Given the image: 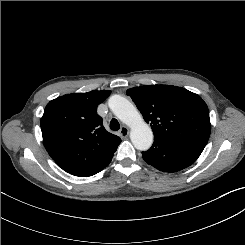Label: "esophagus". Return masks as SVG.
<instances>
[{
    "instance_id": "esophagus-1",
    "label": "esophagus",
    "mask_w": 245,
    "mask_h": 245,
    "mask_svg": "<svg viewBox=\"0 0 245 245\" xmlns=\"http://www.w3.org/2000/svg\"><path fill=\"white\" fill-rule=\"evenodd\" d=\"M119 134L122 138H125L129 134V129L126 126H122L120 131H119Z\"/></svg>"
}]
</instances>
